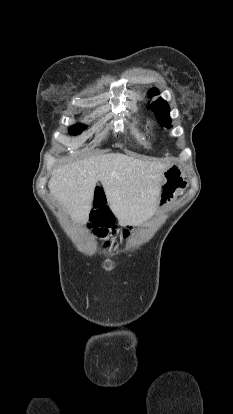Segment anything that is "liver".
Segmentation results:
<instances>
[{
	"mask_svg": "<svg viewBox=\"0 0 233 414\" xmlns=\"http://www.w3.org/2000/svg\"><path fill=\"white\" fill-rule=\"evenodd\" d=\"M168 160L146 161L120 153L89 157L56 168L51 195L74 221H85L101 182L108 204L124 225L146 219L155 209Z\"/></svg>",
	"mask_w": 233,
	"mask_h": 414,
	"instance_id": "6515ba94",
	"label": "liver"
}]
</instances>
